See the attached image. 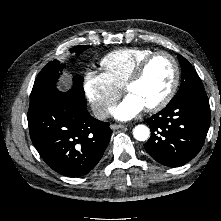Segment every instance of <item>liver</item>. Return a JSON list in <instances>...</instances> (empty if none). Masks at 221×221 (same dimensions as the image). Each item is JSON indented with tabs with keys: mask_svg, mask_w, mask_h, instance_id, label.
Segmentation results:
<instances>
[{
	"mask_svg": "<svg viewBox=\"0 0 221 221\" xmlns=\"http://www.w3.org/2000/svg\"><path fill=\"white\" fill-rule=\"evenodd\" d=\"M63 82H64V83H68V82H69L68 79L66 78V75H65V79H64ZM58 89H59L60 91H62V90H63L62 85H59Z\"/></svg>",
	"mask_w": 221,
	"mask_h": 221,
	"instance_id": "6515ba94",
	"label": "liver"
}]
</instances>
